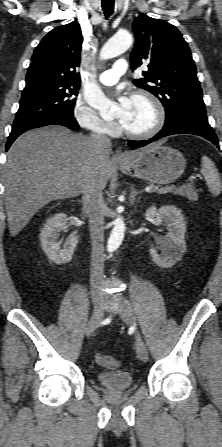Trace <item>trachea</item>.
<instances>
[{
  "label": "trachea",
  "instance_id": "obj_1",
  "mask_svg": "<svg viewBox=\"0 0 222 447\" xmlns=\"http://www.w3.org/2000/svg\"><path fill=\"white\" fill-rule=\"evenodd\" d=\"M102 9L106 17L114 12V0H102Z\"/></svg>",
  "mask_w": 222,
  "mask_h": 447
}]
</instances>
